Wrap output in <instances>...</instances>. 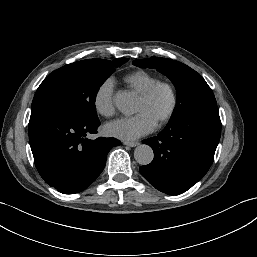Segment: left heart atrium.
<instances>
[{"label":"left heart atrium","instance_id":"1","mask_svg":"<svg viewBox=\"0 0 257 257\" xmlns=\"http://www.w3.org/2000/svg\"><path fill=\"white\" fill-rule=\"evenodd\" d=\"M156 124L148 114L141 112L133 117H124L108 123L105 132L111 137L131 141L152 132Z\"/></svg>","mask_w":257,"mask_h":257}]
</instances>
